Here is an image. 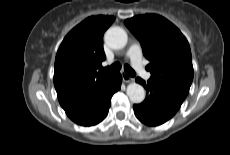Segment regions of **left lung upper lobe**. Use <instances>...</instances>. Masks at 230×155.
<instances>
[{"mask_svg":"<svg viewBox=\"0 0 230 155\" xmlns=\"http://www.w3.org/2000/svg\"><path fill=\"white\" fill-rule=\"evenodd\" d=\"M140 41L150 61L149 80L185 100L193 80L189 43L180 30L157 14L135 16L124 21Z\"/></svg>","mask_w":230,"mask_h":155,"instance_id":"5c2ea615","label":"left lung upper lobe"}]
</instances>
